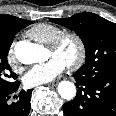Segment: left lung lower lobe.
Instances as JSON below:
<instances>
[{
	"instance_id": "0a47b994",
	"label": "left lung lower lobe",
	"mask_w": 116,
	"mask_h": 116,
	"mask_svg": "<svg viewBox=\"0 0 116 116\" xmlns=\"http://www.w3.org/2000/svg\"><path fill=\"white\" fill-rule=\"evenodd\" d=\"M78 93L63 105L65 116H116V73L86 78L75 72Z\"/></svg>"
}]
</instances>
